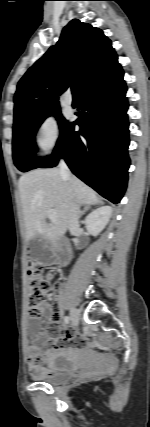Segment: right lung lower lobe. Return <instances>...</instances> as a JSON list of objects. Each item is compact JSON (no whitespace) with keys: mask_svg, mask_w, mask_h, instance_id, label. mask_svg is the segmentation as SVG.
Segmentation results:
<instances>
[{"mask_svg":"<svg viewBox=\"0 0 150 427\" xmlns=\"http://www.w3.org/2000/svg\"><path fill=\"white\" fill-rule=\"evenodd\" d=\"M126 90L118 65L80 92L79 118L67 123L53 153L39 167H55L62 157L77 177L119 203L130 165Z\"/></svg>","mask_w":150,"mask_h":427,"instance_id":"right-lung-lower-lobe-1","label":"right lung lower lobe"}]
</instances>
